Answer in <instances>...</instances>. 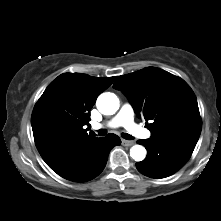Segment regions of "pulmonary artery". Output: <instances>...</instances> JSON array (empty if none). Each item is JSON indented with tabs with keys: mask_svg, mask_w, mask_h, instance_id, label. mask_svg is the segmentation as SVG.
I'll return each instance as SVG.
<instances>
[{
	"mask_svg": "<svg viewBox=\"0 0 221 221\" xmlns=\"http://www.w3.org/2000/svg\"><path fill=\"white\" fill-rule=\"evenodd\" d=\"M116 128L119 126L124 127L131 135L138 138H149L150 132L134 122V111L130 104H124L119 113L106 124L94 123V129L102 127Z\"/></svg>",
	"mask_w": 221,
	"mask_h": 221,
	"instance_id": "1",
	"label": "pulmonary artery"
}]
</instances>
